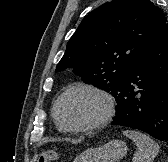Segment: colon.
Wrapping results in <instances>:
<instances>
[{"mask_svg":"<svg viewBox=\"0 0 168 162\" xmlns=\"http://www.w3.org/2000/svg\"><path fill=\"white\" fill-rule=\"evenodd\" d=\"M58 159H59V155L57 152L48 150V151L42 152L38 156L36 162H53V161H57Z\"/></svg>","mask_w":168,"mask_h":162,"instance_id":"obj_1","label":"colon"}]
</instances>
